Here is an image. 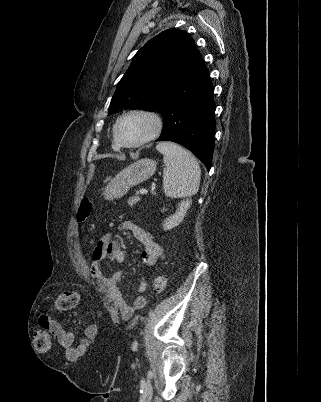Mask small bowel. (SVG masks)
Instances as JSON below:
<instances>
[{"label":"small bowel","mask_w":321,"mask_h":402,"mask_svg":"<svg viewBox=\"0 0 321 402\" xmlns=\"http://www.w3.org/2000/svg\"><path fill=\"white\" fill-rule=\"evenodd\" d=\"M122 230L130 231L133 236L143 245L141 252V262L145 267H152L164 257L161 246L153 240L151 235L143 228L125 222L120 227ZM111 260L115 263H122L124 260V251L118 240L112 235H107L103 238L101 244L96 249V258L91 265V273L98 279L104 278L102 262ZM121 273L115 272L106 279L110 297L118 309L123 320H129L133 314L145 307L146 300L143 293L148 288V279L142 276L136 285V296L132 303L126 302L120 290ZM39 324L42 328L48 330L57 338L62 347L66 351V357L70 360L76 358H85V344H75L71 331L57 322L49 314H42L39 318ZM98 329L94 324H88L87 329L83 330L81 340L84 343L94 339Z\"/></svg>","instance_id":"c3829d8e"}]
</instances>
